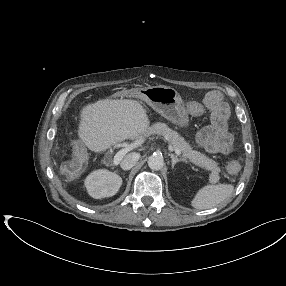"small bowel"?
Here are the masks:
<instances>
[{"instance_id":"obj_1","label":"small bowel","mask_w":286,"mask_h":286,"mask_svg":"<svg viewBox=\"0 0 286 286\" xmlns=\"http://www.w3.org/2000/svg\"><path fill=\"white\" fill-rule=\"evenodd\" d=\"M208 97L212 99V121L197 131L196 141L208 153L227 155L231 152L233 143V136L227 129L228 110L220 94H210ZM186 109L193 116H200L204 112L203 106L196 101L188 102Z\"/></svg>"}]
</instances>
